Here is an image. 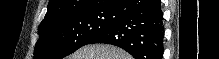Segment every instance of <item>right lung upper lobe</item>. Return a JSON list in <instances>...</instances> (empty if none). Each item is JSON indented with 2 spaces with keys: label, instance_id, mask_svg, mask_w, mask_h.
Segmentation results:
<instances>
[{
  "label": "right lung upper lobe",
  "instance_id": "1",
  "mask_svg": "<svg viewBox=\"0 0 219 59\" xmlns=\"http://www.w3.org/2000/svg\"><path fill=\"white\" fill-rule=\"evenodd\" d=\"M119 0H50L42 23L56 18L113 9Z\"/></svg>",
  "mask_w": 219,
  "mask_h": 59
}]
</instances>
